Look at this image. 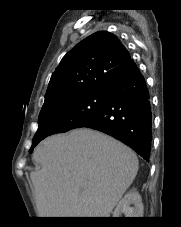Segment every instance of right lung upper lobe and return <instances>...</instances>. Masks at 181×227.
Returning a JSON list of instances; mask_svg holds the SVG:
<instances>
[{
    "instance_id": "right-lung-upper-lobe-1",
    "label": "right lung upper lobe",
    "mask_w": 181,
    "mask_h": 227,
    "mask_svg": "<svg viewBox=\"0 0 181 227\" xmlns=\"http://www.w3.org/2000/svg\"><path fill=\"white\" fill-rule=\"evenodd\" d=\"M133 61L116 36L96 32L70 50L51 76L43 108L97 90L128 73Z\"/></svg>"
}]
</instances>
